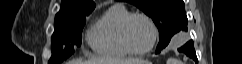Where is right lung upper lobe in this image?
I'll return each mask as SVG.
<instances>
[{
  "instance_id": "right-lung-upper-lobe-1",
  "label": "right lung upper lobe",
  "mask_w": 242,
  "mask_h": 64,
  "mask_svg": "<svg viewBox=\"0 0 242 64\" xmlns=\"http://www.w3.org/2000/svg\"><path fill=\"white\" fill-rule=\"evenodd\" d=\"M93 0H62L55 22L67 21L91 13L95 8Z\"/></svg>"
}]
</instances>
